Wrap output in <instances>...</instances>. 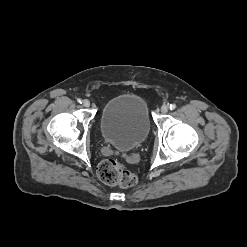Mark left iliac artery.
<instances>
[{"label":"left iliac artery","mask_w":247,"mask_h":247,"mask_svg":"<svg viewBox=\"0 0 247 247\" xmlns=\"http://www.w3.org/2000/svg\"><path fill=\"white\" fill-rule=\"evenodd\" d=\"M169 108H170V110L176 109V104H171V105L169 106Z\"/></svg>","instance_id":"1"}]
</instances>
